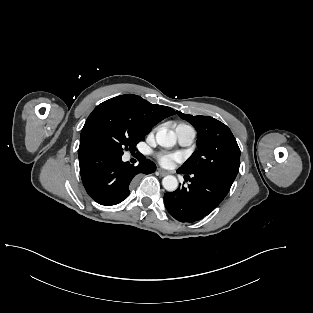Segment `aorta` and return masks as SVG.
Here are the masks:
<instances>
[{
  "mask_svg": "<svg viewBox=\"0 0 313 313\" xmlns=\"http://www.w3.org/2000/svg\"><path fill=\"white\" fill-rule=\"evenodd\" d=\"M156 141L160 146L169 148L176 144V136L171 132H167L165 129H160L156 133ZM162 185L169 192L175 191L178 187L177 178L167 175L163 178Z\"/></svg>",
  "mask_w": 313,
  "mask_h": 313,
  "instance_id": "1",
  "label": "aorta"
}]
</instances>
